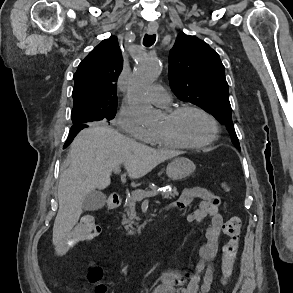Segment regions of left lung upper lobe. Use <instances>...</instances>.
<instances>
[{
    "label": "left lung upper lobe",
    "instance_id": "1",
    "mask_svg": "<svg viewBox=\"0 0 293 293\" xmlns=\"http://www.w3.org/2000/svg\"><path fill=\"white\" fill-rule=\"evenodd\" d=\"M168 78L172 91L181 100L205 109L226 125L233 144L240 149L232 123L225 68L208 44L180 33L169 54Z\"/></svg>",
    "mask_w": 293,
    "mask_h": 293
}]
</instances>
